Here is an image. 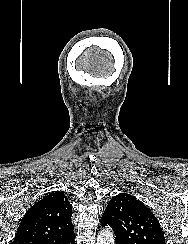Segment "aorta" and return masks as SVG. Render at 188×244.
<instances>
[{
    "mask_svg": "<svg viewBox=\"0 0 188 244\" xmlns=\"http://www.w3.org/2000/svg\"><path fill=\"white\" fill-rule=\"evenodd\" d=\"M96 244H115L114 236L110 229H103L99 232Z\"/></svg>",
    "mask_w": 188,
    "mask_h": 244,
    "instance_id": "aorta-1",
    "label": "aorta"
}]
</instances>
